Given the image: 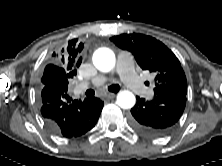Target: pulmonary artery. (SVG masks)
Masks as SVG:
<instances>
[{
    "mask_svg": "<svg viewBox=\"0 0 222 166\" xmlns=\"http://www.w3.org/2000/svg\"><path fill=\"white\" fill-rule=\"evenodd\" d=\"M116 70L125 85H127L133 92L144 95L150 94L148 89L137 75L134 68L133 57L129 53H121L118 56ZM107 81V77L104 75H98L91 80V84L99 86ZM88 87L87 83L79 84L76 87L77 93L83 92Z\"/></svg>",
    "mask_w": 222,
    "mask_h": 166,
    "instance_id": "pulmonary-artery-1",
    "label": "pulmonary artery"
}]
</instances>
